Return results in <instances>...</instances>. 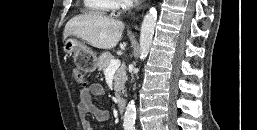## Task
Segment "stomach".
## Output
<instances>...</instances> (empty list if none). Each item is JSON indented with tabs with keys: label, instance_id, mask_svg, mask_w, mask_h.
<instances>
[{
	"label": "stomach",
	"instance_id": "0dacf381",
	"mask_svg": "<svg viewBox=\"0 0 257 130\" xmlns=\"http://www.w3.org/2000/svg\"><path fill=\"white\" fill-rule=\"evenodd\" d=\"M63 51L67 55L73 54L76 63L85 71L92 72L96 69L97 57L95 53L74 36H70L64 41Z\"/></svg>",
	"mask_w": 257,
	"mask_h": 130
}]
</instances>
